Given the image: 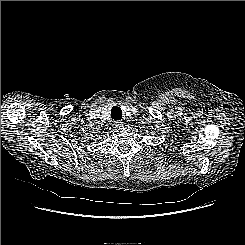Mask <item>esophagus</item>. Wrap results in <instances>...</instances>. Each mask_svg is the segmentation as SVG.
<instances>
[{"label":"esophagus","mask_w":245,"mask_h":245,"mask_svg":"<svg viewBox=\"0 0 245 245\" xmlns=\"http://www.w3.org/2000/svg\"><path fill=\"white\" fill-rule=\"evenodd\" d=\"M114 125H115L116 127H118V128H121V127L123 126V122L120 121V120H118V121H115V122H114Z\"/></svg>","instance_id":"34e87169"}]
</instances>
